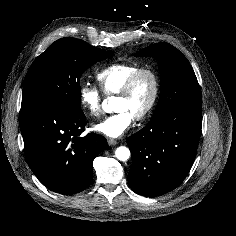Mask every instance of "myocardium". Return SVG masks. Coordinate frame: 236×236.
<instances>
[{"label": "myocardium", "mask_w": 236, "mask_h": 236, "mask_svg": "<svg viewBox=\"0 0 236 236\" xmlns=\"http://www.w3.org/2000/svg\"><path fill=\"white\" fill-rule=\"evenodd\" d=\"M143 75H148L151 78L153 83V92L145 109L134 117L136 120H143L150 116L157 105L161 91L160 77L157 71L152 67H140L127 79L120 91L116 94L117 97H127L132 92L140 77Z\"/></svg>", "instance_id": "1"}]
</instances>
